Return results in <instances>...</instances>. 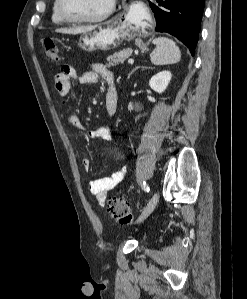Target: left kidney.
Segmentation results:
<instances>
[{
	"mask_svg": "<svg viewBox=\"0 0 247 299\" xmlns=\"http://www.w3.org/2000/svg\"><path fill=\"white\" fill-rule=\"evenodd\" d=\"M171 76L172 75L170 71L159 72L150 79L149 86L154 91L162 93L166 90L171 80Z\"/></svg>",
	"mask_w": 247,
	"mask_h": 299,
	"instance_id": "1",
	"label": "left kidney"
}]
</instances>
